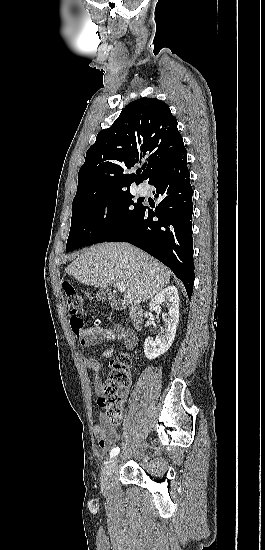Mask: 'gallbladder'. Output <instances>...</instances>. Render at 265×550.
<instances>
[{
	"label": "gallbladder",
	"mask_w": 265,
	"mask_h": 550,
	"mask_svg": "<svg viewBox=\"0 0 265 550\" xmlns=\"http://www.w3.org/2000/svg\"><path fill=\"white\" fill-rule=\"evenodd\" d=\"M96 298L102 302H105V301H110V300H114L115 299V296L114 294L109 291V290H106V289H100L97 293H96Z\"/></svg>",
	"instance_id": "obj_1"
}]
</instances>
